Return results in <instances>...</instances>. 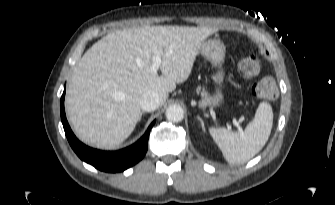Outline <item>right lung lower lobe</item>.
Listing matches in <instances>:
<instances>
[{
    "label": "right lung lower lobe",
    "instance_id": "98d812e1",
    "mask_svg": "<svg viewBox=\"0 0 335 205\" xmlns=\"http://www.w3.org/2000/svg\"><path fill=\"white\" fill-rule=\"evenodd\" d=\"M64 97L65 90L60 100L61 121L69 144L80 159L101 171L121 172L133 166L144 157L148 148L150 130L155 121L151 123L145 134L130 147L114 152L92 149L81 143L73 134L65 116Z\"/></svg>",
    "mask_w": 335,
    "mask_h": 205
}]
</instances>
